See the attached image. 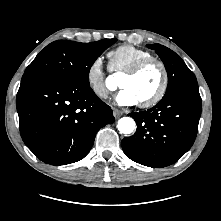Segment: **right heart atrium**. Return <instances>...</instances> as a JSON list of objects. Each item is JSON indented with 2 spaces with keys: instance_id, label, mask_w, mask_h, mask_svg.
<instances>
[{
  "instance_id": "d8ad5b80",
  "label": "right heart atrium",
  "mask_w": 221,
  "mask_h": 221,
  "mask_svg": "<svg viewBox=\"0 0 221 221\" xmlns=\"http://www.w3.org/2000/svg\"><path fill=\"white\" fill-rule=\"evenodd\" d=\"M86 82L91 92L99 99H106L110 93L107 76L101 56L94 58L86 69Z\"/></svg>"
}]
</instances>
